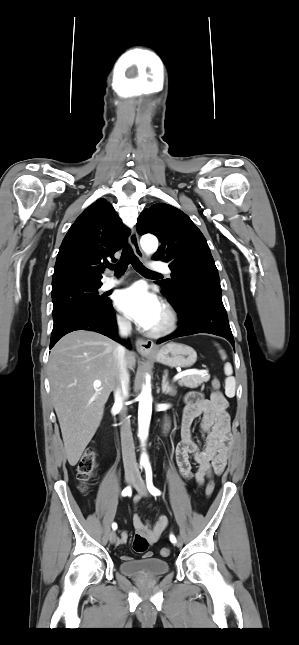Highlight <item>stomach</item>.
I'll return each instance as SVG.
<instances>
[{"label":"stomach","mask_w":299,"mask_h":645,"mask_svg":"<svg viewBox=\"0 0 299 645\" xmlns=\"http://www.w3.org/2000/svg\"><path fill=\"white\" fill-rule=\"evenodd\" d=\"M149 357L169 367H191L197 360V353L188 345L171 342Z\"/></svg>","instance_id":"stomach-1"}]
</instances>
